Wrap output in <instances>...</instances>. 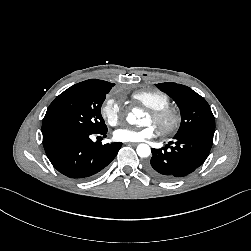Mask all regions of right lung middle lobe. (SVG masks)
Masks as SVG:
<instances>
[{"label":"right lung middle lobe","mask_w":251,"mask_h":251,"mask_svg":"<svg viewBox=\"0 0 251 251\" xmlns=\"http://www.w3.org/2000/svg\"><path fill=\"white\" fill-rule=\"evenodd\" d=\"M111 87L81 82L61 93L50 104L42 123V133L51 130H72L98 133L107 127L101 106Z\"/></svg>","instance_id":"obj_1"}]
</instances>
